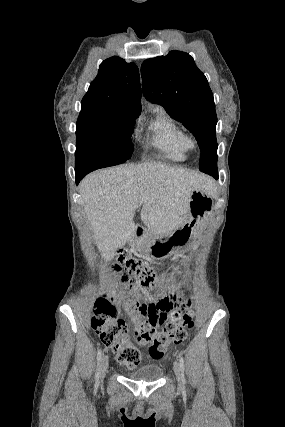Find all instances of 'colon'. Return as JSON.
<instances>
[{
  "mask_svg": "<svg viewBox=\"0 0 285 427\" xmlns=\"http://www.w3.org/2000/svg\"><path fill=\"white\" fill-rule=\"evenodd\" d=\"M116 271L124 272V282L132 286L136 284L140 286L141 290L136 301L138 308H146L144 299H148L149 304H153L162 297V293H148L144 290L156 284L159 278L158 273L123 251L117 255ZM117 300L120 299L114 293H105L99 298L95 304L90 325L94 332L117 353L121 364L134 368L138 365L141 355L138 348L129 341L124 329V321L115 317L113 302ZM190 304V300L187 299L176 300L169 314L170 321L160 333L156 332L155 327L143 322L142 316L134 319L138 341L142 344L154 342L149 347V354L153 359L160 360L169 343H181L186 339L187 329L194 326L189 312Z\"/></svg>",
  "mask_w": 285,
  "mask_h": 427,
  "instance_id": "1",
  "label": "colon"
}]
</instances>
